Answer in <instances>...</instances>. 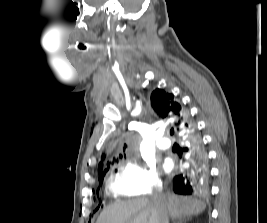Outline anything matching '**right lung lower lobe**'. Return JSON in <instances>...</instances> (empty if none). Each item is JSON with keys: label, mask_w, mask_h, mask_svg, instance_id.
Wrapping results in <instances>:
<instances>
[{"label": "right lung lower lobe", "mask_w": 267, "mask_h": 223, "mask_svg": "<svg viewBox=\"0 0 267 223\" xmlns=\"http://www.w3.org/2000/svg\"><path fill=\"white\" fill-rule=\"evenodd\" d=\"M185 141L189 145L184 148L188 152L189 167L173 179V190L177 194L190 195L202 190L209 180L208 159L196 128L188 127L184 132Z\"/></svg>", "instance_id": "98d812e1"}]
</instances>
